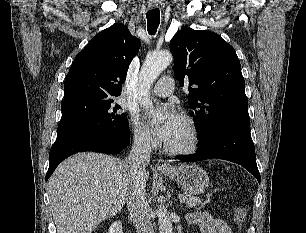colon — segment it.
I'll return each mask as SVG.
<instances>
[{
	"mask_svg": "<svg viewBox=\"0 0 306 233\" xmlns=\"http://www.w3.org/2000/svg\"><path fill=\"white\" fill-rule=\"evenodd\" d=\"M246 209L242 206H239L234 211V220L238 224L239 227L242 226V224L245 222L246 219Z\"/></svg>",
	"mask_w": 306,
	"mask_h": 233,
	"instance_id": "5ec220e1",
	"label": "colon"
}]
</instances>
